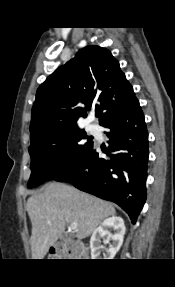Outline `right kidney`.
Listing matches in <instances>:
<instances>
[{"label":"right kidney","instance_id":"1","mask_svg":"<svg viewBox=\"0 0 175 287\" xmlns=\"http://www.w3.org/2000/svg\"><path fill=\"white\" fill-rule=\"evenodd\" d=\"M125 231L126 228L121 217L112 216L105 219L94 230L90 239L92 259H113L122 246ZM104 237H106V241H111V243L109 244V248L101 253V250L104 248L101 244V239Z\"/></svg>","mask_w":175,"mask_h":287}]
</instances>
